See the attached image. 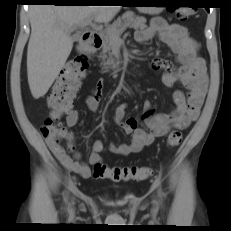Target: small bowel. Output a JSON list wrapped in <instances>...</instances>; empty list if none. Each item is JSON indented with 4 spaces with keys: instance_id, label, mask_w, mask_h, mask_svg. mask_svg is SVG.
Instances as JSON below:
<instances>
[{
    "instance_id": "c3829d8e",
    "label": "small bowel",
    "mask_w": 231,
    "mask_h": 231,
    "mask_svg": "<svg viewBox=\"0 0 231 231\" xmlns=\"http://www.w3.org/2000/svg\"><path fill=\"white\" fill-rule=\"evenodd\" d=\"M155 37L172 50L178 67H170L167 62L156 60L152 63L153 69L164 71L162 80L166 86L173 87L181 83L187 89V93L180 90L174 92L173 100L176 107L169 113H156L152 105L146 103L140 118L125 119L127 105L115 104L113 106L114 122L121 126L126 134L131 135V140L129 143L120 145L111 144L110 151L114 154L127 156L138 153L145 146L152 144L156 138L167 135L171 128L184 129L199 116L206 92L207 76L205 62L198 54V43L189 35L186 27L169 24L162 18H154L148 28L139 30L135 34V40L138 43L148 42ZM100 90L101 82L87 99V106L92 112H96L99 108ZM78 121V112L70 110L66 117L67 127L75 126ZM46 143L65 168L81 177L90 176L89 164L101 162L100 153L103 150L101 141L93 143L88 163L81 160L78 152L69 155L50 137L46 138Z\"/></svg>"
}]
</instances>
